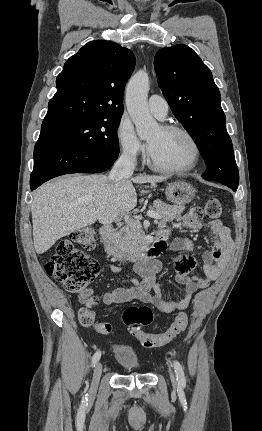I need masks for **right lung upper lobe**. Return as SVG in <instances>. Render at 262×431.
Returning <instances> with one entry per match:
<instances>
[{
	"label": "right lung upper lobe",
	"mask_w": 262,
	"mask_h": 431,
	"mask_svg": "<svg viewBox=\"0 0 262 431\" xmlns=\"http://www.w3.org/2000/svg\"><path fill=\"white\" fill-rule=\"evenodd\" d=\"M134 66L132 51L119 44L87 43L64 64L42 125L122 116L123 91Z\"/></svg>",
	"instance_id": "right-lung-upper-lobe-1"
}]
</instances>
